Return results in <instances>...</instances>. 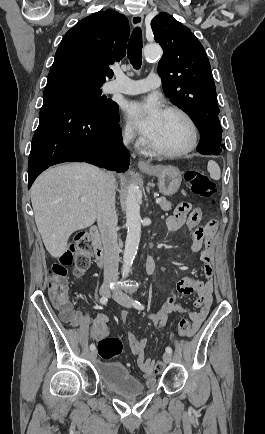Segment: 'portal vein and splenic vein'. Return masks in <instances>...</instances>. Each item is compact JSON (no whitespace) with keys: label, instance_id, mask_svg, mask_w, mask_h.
<instances>
[{"label":"portal vein and splenic vein","instance_id":"18ae733b","mask_svg":"<svg viewBox=\"0 0 265 434\" xmlns=\"http://www.w3.org/2000/svg\"><path fill=\"white\" fill-rule=\"evenodd\" d=\"M80 202H86V198H80ZM156 204H160V198H157Z\"/></svg>","mask_w":265,"mask_h":434}]
</instances>
